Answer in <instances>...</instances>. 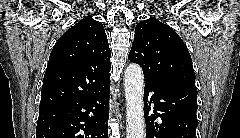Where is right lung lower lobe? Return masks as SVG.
I'll return each mask as SVG.
<instances>
[{"instance_id":"1","label":"right lung lower lobe","mask_w":240,"mask_h":138,"mask_svg":"<svg viewBox=\"0 0 240 138\" xmlns=\"http://www.w3.org/2000/svg\"><path fill=\"white\" fill-rule=\"evenodd\" d=\"M110 80L85 96L40 109L36 138H107Z\"/></svg>"}]
</instances>
